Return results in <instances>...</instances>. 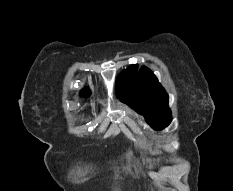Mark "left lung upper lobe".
<instances>
[{"instance_id": "1", "label": "left lung upper lobe", "mask_w": 233, "mask_h": 191, "mask_svg": "<svg viewBox=\"0 0 233 191\" xmlns=\"http://www.w3.org/2000/svg\"><path fill=\"white\" fill-rule=\"evenodd\" d=\"M116 91L118 98L144 115L155 130L170 124L168 94L147 67L142 66L137 72V65H131L121 72L116 80Z\"/></svg>"}]
</instances>
